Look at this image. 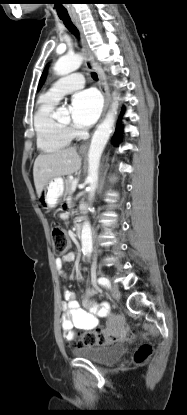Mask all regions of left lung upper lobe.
I'll return each mask as SVG.
<instances>
[{
	"label": "left lung upper lobe",
	"instance_id": "left-lung-upper-lobe-1",
	"mask_svg": "<svg viewBox=\"0 0 187 415\" xmlns=\"http://www.w3.org/2000/svg\"><path fill=\"white\" fill-rule=\"evenodd\" d=\"M45 75H46V69L43 71V74L40 78V82H39V86H38V90L40 89V87L42 86V84L44 83L45 80Z\"/></svg>",
	"mask_w": 187,
	"mask_h": 415
}]
</instances>
